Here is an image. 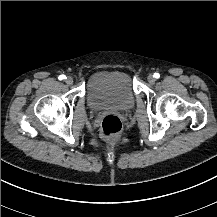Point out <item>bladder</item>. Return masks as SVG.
I'll return each instance as SVG.
<instances>
[{
  "label": "bladder",
  "mask_w": 217,
  "mask_h": 217,
  "mask_svg": "<svg viewBox=\"0 0 217 217\" xmlns=\"http://www.w3.org/2000/svg\"><path fill=\"white\" fill-rule=\"evenodd\" d=\"M129 77L123 72H103L88 85L86 101L93 111L110 108L126 109L133 103Z\"/></svg>",
  "instance_id": "31cf9c89"
}]
</instances>
